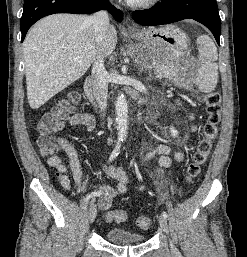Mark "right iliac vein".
Segmentation results:
<instances>
[{
    "label": "right iliac vein",
    "mask_w": 247,
    "mask_h": 257,
    "mask_svg": "<svg viewBox=\"0 0 247 257\" xmlns=\"http://www.w3.org/2000/svg\"><path fill=\"white\" fill-rule=\"evenodd\" d=\"M97 215V208L94 204V201L92 200L90 202L89 208H88V219L90 223H93Z\"/></svg>",
    "instance_id": "1"
}]
</instances>
